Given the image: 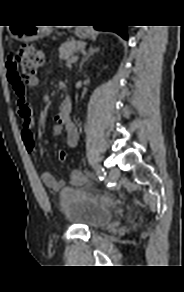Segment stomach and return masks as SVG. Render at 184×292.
<instances>
[{
    "instance_id": "obj_1",
    "label": "stomach",
    "mask_w": 184,
    "mask_h": 292,
    "mask_svg": "<svg viewBox=\"0 0 184 292\" xmlns=\"http://www.w3.org/2000/svg\"><path fill=\"white\" fill-rule=\"evenodd\" d=\"M46 33L42 26H28L20 31H13V37L22 41H33L41 38ZM76 34L80 38H86L88 33L86 29L77 30Z\"/></svg>"
}]
</instances>
